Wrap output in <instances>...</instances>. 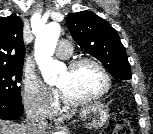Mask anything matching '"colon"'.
<instances>
[{
    "mask_svg": "<svg viewBox=\"0 0 153 134\" xmlns=\"http://www.w3.org/2000/svg\"><path fill=\"white\" fill-rule=\"evenodd\" d=\"M101 134H133L125 111H117L112 122L106 125Z\"/></svg>",
    "mask_w": 153,
    "mask_h": 134,
    "instance_id": "obj_1",
    "label": "colon"
}]
</instances>
